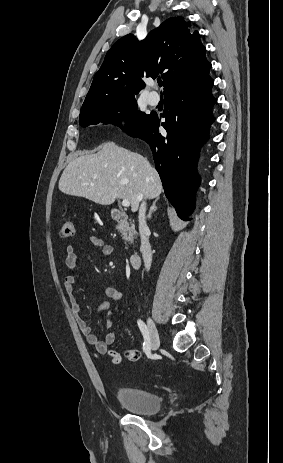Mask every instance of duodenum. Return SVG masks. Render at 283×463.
I'll use <instances>...</instances> for the list:
<instances>
[{
    "label": "duodenum",
    "mask_w": 283,
    "mask_h": 463,
    "mask_svg": "<svg viewBox=\"0 0 283 463\" xmlns=\"http://www.w3.org/2000/svg\"><path fill=\"white\" fill-rule=\"evenodd\" d=\"M112 218L115 223L119 225H125L128 222L127 214L121 210H114L112 212ZM129 262L132 268H138L140 266V255L138 252L134 251L129 256Z\"/></svg>",
    "instance_id": "1"
}]
</instances>
